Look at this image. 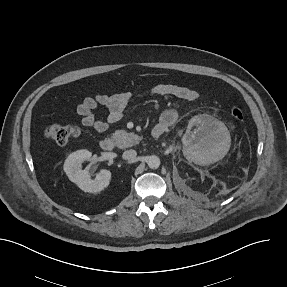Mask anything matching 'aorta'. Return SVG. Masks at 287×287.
Wrapping results in <instances>:
<instances>
[{
	"label": "aorta",
	"mask_w": 287,
	"mask_h": 287,
	"mask_svg": "<svg viewBox=\"0 0 287 287\" xmlns=\"http://www.w3.org/2000/svg\"><path fill=\"white\" fill-rule=\"evenodd\" d=\"M147 164L151 169H157L160 166V159L158 156L152 155L147 158Z\"/></svg>",
	"instance_id": "762f6f07"
}]
</instances>
